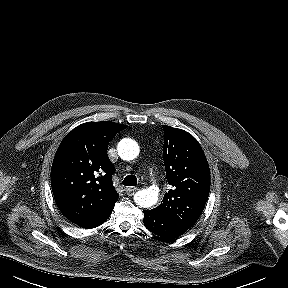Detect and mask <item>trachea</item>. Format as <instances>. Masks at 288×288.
<instances>
[{
    "label": "trachea",
    "instance_id": "obj_1",
    "mask_svg": "<svg viewBox=\"0 0 288 288\" xmlns=\"http://www.w3.org/2000/svg\"><path fill=\"white\" fill-rule=\"evenodd\" d=\"M122 183L125 186H136L137 185V178L134 175H127L124 178Z\"/></svg>",
    "mask_w": 288,
    "mask_h": 288
}]
</instances>
